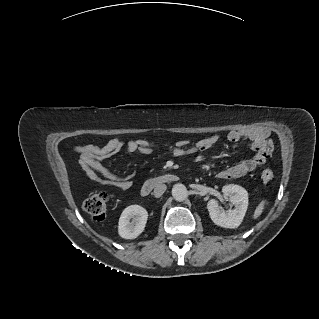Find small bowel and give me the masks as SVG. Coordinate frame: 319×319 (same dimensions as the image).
Returning <instances> with one entry per match:
<instances>
[{
    "label": "small bowel",
    "mask_w": 319,
    "mask_h": 319,
    "mask_svg": "<svg viewBox=\"0 0 319 319\" xmlns=\"http://www.w3.org/2000/svg\"><path fill=\"white\" fill-rule=\"evenodd\" d=\"M268 132L245 134L241 131L233 130L227 134V139L232 143H237L244 138L251 142L253 155L236 164L226 167L217 173V178L235 179L255 170L258 166L266 162L267 157L257 148L263 141L268 140ZM217 134L210 135L193 144L187 140H179L168 145V149L175 157H182L189 154H199L212 149L218 142ZM156 144L149 140L139 139L123 142L118 138L109 140L103 145H80L75 148L79 155V164L85 175L93 182L101 185H110L120 189H128L132 185L131 175H117L111 172L103 163L117 153L125 150L127 152L139 151L143 154H150L155 149Z\"/></svg>",
    "instance_id": "c3829d8e"
}]
</instances>
